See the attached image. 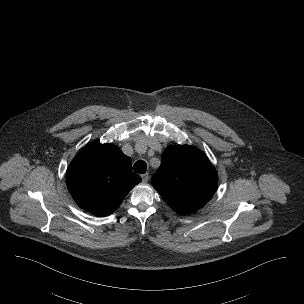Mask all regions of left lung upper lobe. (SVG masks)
<instances>
[{
    "label": "left lung upper lobe",
    "instance_id": "5c2ea615",
    "mask_svg": "<svg viewBox=\"0 0 304 304\" xmlns=\"http://www.w3.org/2000/svg\"><path fill=\"white\" fill-rule=\"evenodd\" d=\"M218 175L207 156L188 145L167 147L152 177L153 187L178 214L202 208L213 196Z\"/></svg>",
    "mask_w": 304,
    "mask_h": 304
}]
</instances>
